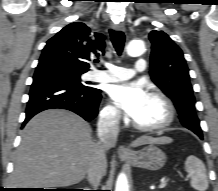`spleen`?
<instances>
[{"instance_id":"obj_1","label":"spleen","mask_w":218,"mask_h":191,"mask_svg":"<svg viewBox=\"0 0 218 191\" xmlns=\"http://www.w3.org/2000/svg\"><path fill=\"white\" fill-rule=\"evenodd\" d=\"M185 170L191 178L190 185L192 188L198 191L208 189L206 168L199 158L193 155L188 156L185 161Z\"/></svg>"}]
</instances>
